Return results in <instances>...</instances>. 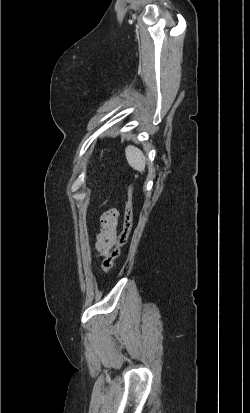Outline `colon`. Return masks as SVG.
Segmentation results:
<instances>
[{
  "instance_id": "5ec220e1",
  "label": "colon",
  "mask_w": 250,
  "mask_h": 413,
  "mask_svg": "<svg viewBox=\"0 0 250 413\" xmlns=\"http://www.w3.org/2000/svg\"><path fill=\"white\" fill-rule=\"evenodd\" d=\"M133 187L130 186L127 192V202L125 206L123 229L119 234L116 243L110 253L102 262V270L107 274L114 266L115 260L119 257L122 247L127 243L132 228L133 217Z\"/></svg>"
}]
</instances>
